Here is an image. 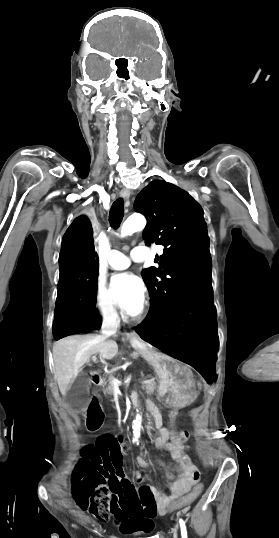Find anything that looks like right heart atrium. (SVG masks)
I'll return each mask as SVG.
<instances>
[{
    "mask_svg": "<svg viewBox=\"0 0 279 538\" xmlns=\"http://www.w3.org/2000/svg\"><path fill=\"white\" fill-rule=\"evenodd\" d=\"M95 227L96 223L92 222ZM96 311L103 322L111 321L118 317L119 307L115 299L105 287L98 286L96 290Z\"/></svg>",
    "mask_w": 279,
    "mask_h": 538,
    "instance_id": "d8ad5b80",
    "label": "right heart atrium"
}]
</instances>
